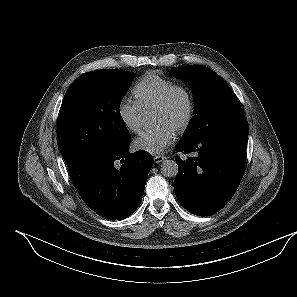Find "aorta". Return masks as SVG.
<instances>
[{
    "label": "aorta",
    "instance_id": "aorta-1",
    "mask_svg": "<svg viewBox=\"0 0 297 297\" xmlns=\"http://www.w3.org/2000/svg\"><path fill=\"white\" fill-rule=\"evenodd\" d=\"M150 120V119H149ZM146 123H149L148 120H145ZM178 165L174 160H164L161 163V173L165 176V177H175L178 173Z\"/></svg>",
    "mask_w": 297,
    "mask_h": 297
}]
</instances>
